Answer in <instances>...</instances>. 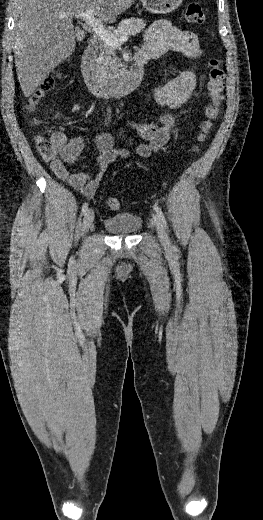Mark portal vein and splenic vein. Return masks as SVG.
I'll use <instances>...</instances> for the list:
<instances>
[{"label": "portal vein and splenic vein", "mask_w": 263, "mask_h": 520, "mask_svg": "<svg viewBox=\"0 0 263 520\" xmlns=\"http://www.w3.org/2000/svg\"><path fill=\"white\" fill-rule=\"evenodd\" d=\"M94 12V10H89L87 12L77 14V17L83 19L92 29V31L96 33L101 38V40H103L110 47L117 48L128 40L127 34L119 38L115 37L108 29L103 26L101 21L95 18ZM60 17L64 18L66 15L62 14Z\"/></svg>", "instance_id": "18ae733b"}]
</instances>
